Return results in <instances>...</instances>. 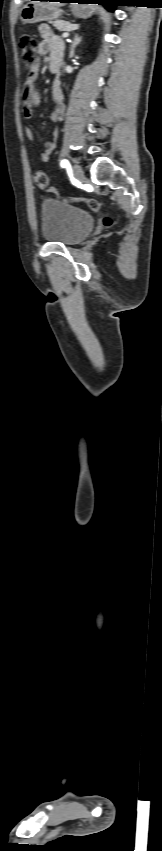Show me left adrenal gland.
<instances>
[{"label": "left adrenal gland", "instance_id": "obj_1", "mask_svg": "<svg viewBox=\"0 0 162 851\" xmlns=\"http://www.w3.org/2000/svg\"><path fill=\"white\" fill-rule=\"evenodd\" d=\"M80 42H81V37H79L78 34H75L74 41L71 44L69 58H72L74 56L75 48H76L77 45L80 44Z\"/></svg>", "mask_w": 162, "mask_h": 851}]
</instances>
